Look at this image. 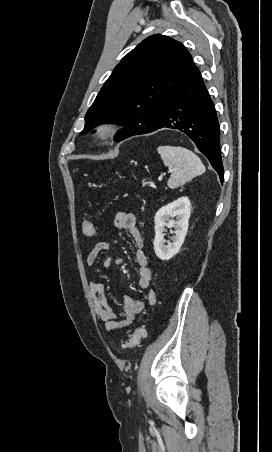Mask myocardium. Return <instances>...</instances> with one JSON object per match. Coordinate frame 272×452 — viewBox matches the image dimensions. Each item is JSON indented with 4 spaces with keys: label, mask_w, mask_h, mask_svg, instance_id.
<instances>
[{
    "label": "myocardium",
    "mask_w": 272,
    "mask_h": 452,
    "mask_svg": "<svg viewBox=\"0 0 272 452\" xmlns=\"http://www.w3.org/2000/svg\"><path fill=\"white\" fill-rule=\"evenodd\" d=\"M115 133V128L111 124H101L95 129V136L98 139L105 140L111 138Z\"/></svg>",
    "instance_id": "obj_1"
}]
</instances>
